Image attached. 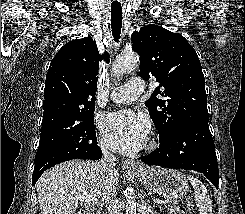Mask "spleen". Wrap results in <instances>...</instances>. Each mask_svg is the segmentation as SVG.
<instances>
[{
	"instance_id": "1",
	"label": "spleen",
	"mask_w": 245,
	"mask_h": 214,
	"mask_svg": "<svg viewBox=\"0 0 245 214\" xmlns=\"http://www.w3.org/2000/svg\"><path fill=\"white\" fill-rule=\"evenodd\" d=\"M188 180L194 188L195 201L200 211V214H213L212 203L206 187L202 184L200 180L191 175L188 176Z\"/></svg>"
}]
</instances>
